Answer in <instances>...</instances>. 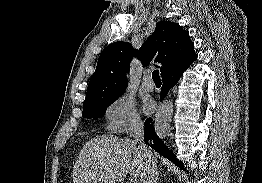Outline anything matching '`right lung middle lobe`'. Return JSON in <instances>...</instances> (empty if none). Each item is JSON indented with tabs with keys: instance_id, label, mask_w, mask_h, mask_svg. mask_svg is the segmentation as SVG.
Wrapping results in <instances>:
<instances>
[{
	"instance_id": "dd1d6c3e",
	"label": "right lung middle lobe",
	"mask_w": 262,
	"mask_h": 183,
	"mask_svg": "<svg viewBox=\"0 0 262 183\" xmlns=\"http://www.w3.org/2000/svg\"><path fill=\"white\" fill-rule=\"evenodd\" d=\"M120 95L122 94L83 103L82 117L95 119L101 118L104 116L107 107L116 101Z\"/></svg>"
}]
</instances>
